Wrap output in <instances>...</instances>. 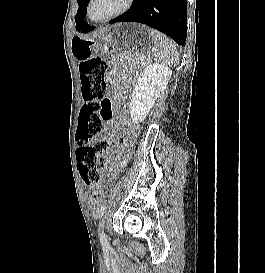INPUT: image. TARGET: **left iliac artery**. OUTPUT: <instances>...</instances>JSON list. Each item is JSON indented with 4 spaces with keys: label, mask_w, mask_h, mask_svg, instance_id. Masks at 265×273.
<instances>
[{
    "label": "left iliac artery",
    "mask_w": 265,
    "mask_h": 273,
    "mask_svg": "<svg viewBox=\"0 0 265 273\" xmlns=\"http://www.w3.org/2000/svg\"><path fill=\"white\" fill-rule=\"evenodd\" d=\"M106 209H107V205H102L100 207V209L98 210V217L99 218L103 216V214L105 213ZM100 240H101L102 246L104 248H108L109 247V243L106 240L105 235L103 233L100 234Z\"/></svg>",
    "instance_id": "left-iliac-artery-1"
}]
</instances>
